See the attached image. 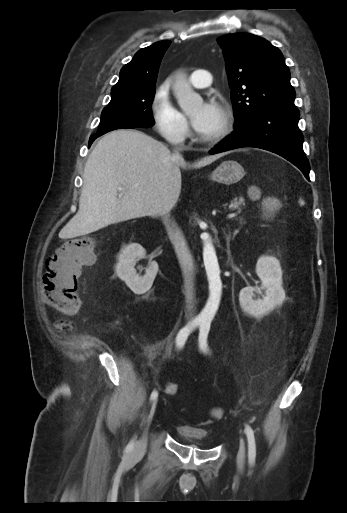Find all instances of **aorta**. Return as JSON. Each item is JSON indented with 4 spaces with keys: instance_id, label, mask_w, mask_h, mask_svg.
Returning a JSON list of instances; mask_svg holds the SVG:
<instances>
[{
    "instance_id": "1",
    "label": "aorta",
    "mask_w": 347,
    "mask_h": 513,
    "mask_svg": "<svg viewBox=\"0 0 347 513\" xmlns=\"http://www.w3.org/2000/svg\"><path fill=\"white\" fill-rule=\"evenodd\" d=\"M173 90L179 106L185 113L192 112L203 102L202 97L193 91L183 73L176 75ZM203 259L209 281V298L199 318L202 321L210 322L220 303L222 282L216 252L209 237L204 239Z\"/></svg>"
}]
</instances>
